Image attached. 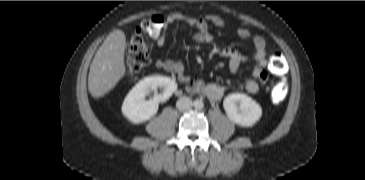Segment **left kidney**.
Listing matches in <instances>:
<instances>
[{"mask_svg": "<svg viewBox=\"0 0 365 180\" xmlns=\"http://www.w3.org/2000/svg\"><path fill=\"white\" fill-rule=\"evenodd\" d=\"M230 120L244 127L253 126L262 115L261 106L246 94H230L223 101Z\"/></svg>", "mask_w": 365, "mask_h": 180, "instance_id": "obj_1", "label": "left kidney"}]
</instances>
